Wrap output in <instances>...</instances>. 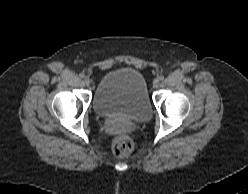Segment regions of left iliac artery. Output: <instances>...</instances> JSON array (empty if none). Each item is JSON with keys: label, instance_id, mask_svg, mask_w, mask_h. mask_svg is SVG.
Wrapping results in <instances>:
<instances>
[{"label": "left iliac artery", "instance_id": "left-iliac-artery-1", "mask_svg": "<svg viewBox=\"0 0 248 194\" xmlns=\"http://www.w3.org/2000/svg\"><path fill=\"white\" fill-rule=\"evenodd\" d=\"M159 79L160 80H163L164 79V76L163 75L159 76Z\"/></svg>", "mask_w": 248, "mask_h": 194}]
</instances>
